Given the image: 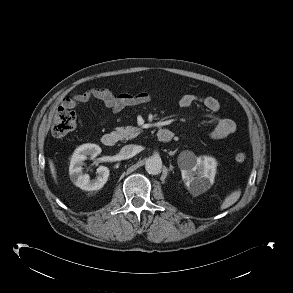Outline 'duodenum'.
I'll list each match as a JSON object with an SVG mask.
<instances>
[{
    "label": "duodenum",
    "mask_w": 293,
    "mask_h": 293,
    "mask_svg": "<svg viewBox=\"0 0 293 293\" xmlns=\"http://www.w3.org/2000/svg\"><path fill=\"white\" fill-rule=\"evenodd\" d=\"M157 138L161 142H169L172 138V133L168 129H160L157 133ZM101 142L105 147H113L117 143L115 133L108 132L101 137Z\"/></svg>",
    "instance_id": "410a0bca"
}]
</instances>
